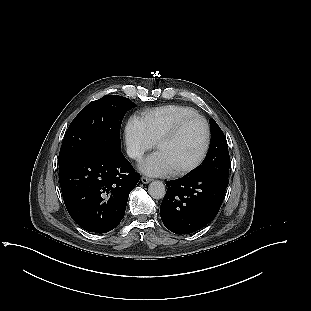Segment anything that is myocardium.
Here are the masks:
<instances>
[{"label": "myocardium", "instance_id": "f54148a6", "mask_svg": "<svg viewBox=\"0 0 311 311\" xmlns=\"http://www.w3.org/2000/svg\"><path fill=\"white\" fill-rule=\"evenodd\" d=\"M195 120L200 121L204 126V143H203L202 149H201L199 155L197 156V158L193 162H191L190 164H188L184 167H181L179 169L174 170L172 173L175 176L185 175V174L193 171L205 159L207 152H208V149H209V146H210V140H211L210 127H209L207 120L199 114L184 117V118L178 120L173 126H171L164 133H162L155 143V146L157 148V146L160 143L174 139L188 123L195 121Z\"/></svg>", "mask_w": 311, "mask_h": 311}]
</instances>
